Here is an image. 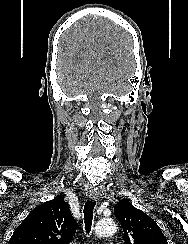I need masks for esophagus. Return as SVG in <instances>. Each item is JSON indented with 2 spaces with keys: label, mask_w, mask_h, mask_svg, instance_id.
<instances>
[{
  "label": "esophagus",
  "mask_w": 188,
  "mask_h": 244,
  "mask_svg": "<svg viewBox=\"0 0 188 244\" xmlns=\"http://www.w3.org/2000/svg\"><path fill=\"white\" fill-rule=\"evenodd\" d=\"M100 195H101L100 192L97 190L90 191L89 199L90 200H97V199H99Z\"/></svg>",
  "instance_id": "obj_1"
}]
</instances>
